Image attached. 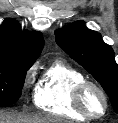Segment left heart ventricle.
I'll return each instance as SVG.
<instances>
[{
	"mask_svg": "<svg viewBox=\"0 0 118 123\" xmlns=\"http://www.w3.org/2000/svg\"><path fill=\"white\" fill-rule=\"evenodd\" d=\"M89 110L94 114H100L103 111V100L95 90H89L85 99Z\"/></svg>",
	"mask_w": 118,
	"mask_h": 123,
	"instance_id": "left-heart-ventricle-1",
	"label": "left heart ventricle"
}]
</instances>
